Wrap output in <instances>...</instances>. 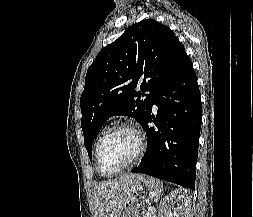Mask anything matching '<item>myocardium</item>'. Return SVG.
<instances>
[{"label":"myocardium","instance_id":"1","mask_svg":"<svg viewBox=\"0 0 253 217\" xmlns=\"http://www.w3.org/2000/svg\"><path fill=\"white\" fill-rule=\"evenodd\" d=\"M121 129H125L128 130L130 132H132L137 140V150L135 155L132 157V159L127 162L125 165H123L122 167L118 168L117 170L110 172V173H106L103 172L100 168V164H99V154H100V150L102 147V144L104 143V141L106 140V138L113 133L114 131L117 130H121ZM146 149V139H145V135L143 133V131L136 125L131 124V123H118L113 125L111 128H109L99 139V141L97 142L96 148H95V168L97 170V172L105 177H110V176H114L117 175L123 171H125L126 169L130 168L131 166H133L135 163H137L141 157L143 156L144 152Z\"/></svg>","mask_w":253,"mask_h":217}]
</instances>
